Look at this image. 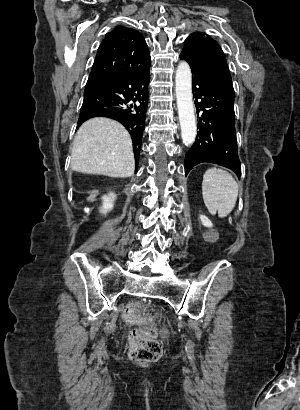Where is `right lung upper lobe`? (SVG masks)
I'll list each match as a JSON object with an SVG mask.
<instances>
[{
	"mask_svg": "<svg viewBox=\"0 0 300 410\" xmlns=\"http://www.w3.org/2000/svg\"><path fill=\"white\" fill-rule=\"evenodd\" d=\"M150 64L143 36L132 28L117 26L100 44L87 83H98L130 70H142ZM139 151L140 146L134 149L136 157Z\"/></svg>",
	"mask_w": 300,
	"mask_h": 410,
	"instance_id": "1",
	"label": "right lung upper lobe"
}]
</instances>
